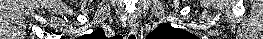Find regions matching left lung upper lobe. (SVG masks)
Segmentation results:
<instances>
[{
    "label": "left lung upper lobe",
    "mask_w": 263,
    "mask_h": 39,
    "mask_svg": "<svg viewBox=\"0 0 263 39\" xmlns=\"http://www.w3.org/2000/svg\"><path fill=\"white\" fill-rule=\"evenodd\" d=\"M148 39H197L198 37L179 28H174L169 24H162L152 31Z\"/></svg>",
    "instance_id": "1"
}]
</instances>
